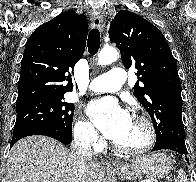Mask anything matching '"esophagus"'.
<instances>
[{"instance_id": "34e87169", "label": "esophagus", "mask_w": 196, "mask_h": 182, "mask_svg": "<svg viewBox=\"0 0 196 182\" xmlns=\"http://www.w3.org/2000/svg\"><path fill=\"white\" fill-rule=\"evenodd\" d=\"M91 25L93 28L98 29L100 32L103 31V17L100 13H95L91 18ZM101 163L107 167H119L116 162L103 159Z\"/></svg>"}]
</instances>
